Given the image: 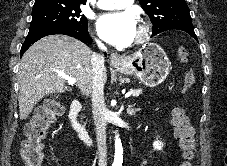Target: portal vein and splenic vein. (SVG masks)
<instances>
[{
    "instance_id": "obj_1",
    "label": "portal vein and splenic vein",
    "mask_w": 227,
    "mask_h": 166,
    "mask_svg": "<svg viewBox=\"0 0 227 166\" xmlns=\"http://www.w3.org/2000/svg\"><path fill=\"white\" fill-rule=\"evenodd\" d=\"M60 76H61L62 78H64L65 80H67L68 84H70V85L76 83V79H74V78H72V77L66 76V75H64V74H60ZM131 95H132V93H131V92H128V93L125 94V97L128 98V97H130Z\"/></svg>"
}]
</instances>
